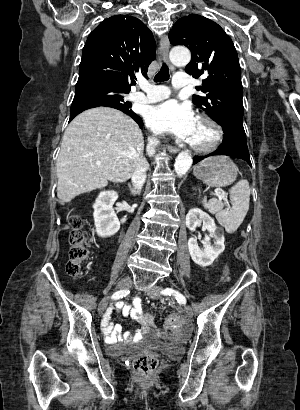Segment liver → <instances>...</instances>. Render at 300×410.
<instances>
[{
  "label": "liver",
  "mask_w": 300,
  "mask_h": 410,
  "mask_svg": "<svg viewBox=\"0 0 300 410\" xmlns=\"http://www.w3.org/2000/svg\"><path fill=\"white\" fill-rule=\"evenodd\" d=\"M143 151L142 131L128 115L109 107L82 112L63 135L56 163L57 197L68 203L108 181L126 182L137 167L148 166Z\"/></svg>",
  "instance_id": "6515ba94"
}]
</instances>
